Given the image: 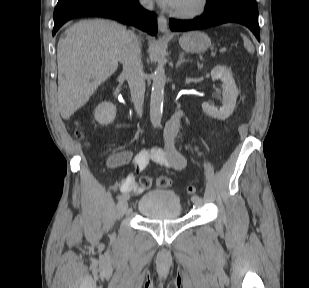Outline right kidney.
<instances>
[{
	"mask_svg": "<svg viewBox=\"0 0 309 288\" xmlns=\"http://www.w3.org/2000/svg\"><path fill=\"white\" fill-rule=\"evenodd\" d=\"M116 116V107L110 102L99 104L95 110V120L101 125L110 124Z\"/></svg>",
	"mask_w": 309,
	"mask_h": 288,
	"instance_id": "obj_1",
	"label": "right kidney"
}]
</instances>
